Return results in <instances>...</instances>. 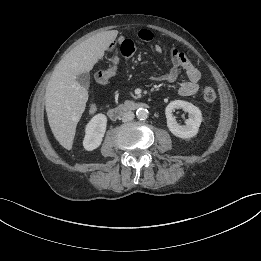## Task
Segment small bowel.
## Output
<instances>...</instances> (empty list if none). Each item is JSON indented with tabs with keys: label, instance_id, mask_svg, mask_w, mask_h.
<instances>
[{
	"label": "small bowel",
	"instance_id": "1",
	"mask_svg": "<svg viewBox=\"0 0 261 261\" xmlns=\"http://www.w3.org/2000/svg\"><path fill=\"white\" fill-rule=\"evenodd\" d=\"M138 39L143 43H149L153 40V33L148 29H141L138 32ZM118 47L120 52L127 62L135 52L136 46L135 42L131 39L119 37L114 41L110 50ZM154 50L158 54H162L164 49L160 45H154ZM170 61L171 68L169 72L154 76L156 81L160 82H174L178 79L181 72H184L187 80L182 82L179 86V94L181 96H192L196 94L199 90V80H200V71L196 66L190 61L187 55L179 51L176 47H171L170 50ZM96 105H91L90 112H96Z\"/></svg>",
	"mask_w": 261,
	"mask_h": 261
}]
</instances>
